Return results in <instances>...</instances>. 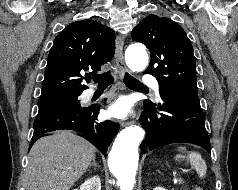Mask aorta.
I'll use <instances>...</instances> for the list:
<instances>
[{
    "mask_svg": "<svg viewBox=\"0 0 238 190\" xmlns=\"http://www.w3.org/2000/svg\"><path fill=\"white\" fill-rule=\"evenodd\" d=\"M127 66L133 71H143L148 65V54L140 43L131 44L125 53ZM144 137L139 126L124 128L115 139L109 153L108 166L117 178L121 190H132L138 167V146Z\"/></svg>",
    "mask_w": 238,
    "mask_h": 190,
    "instance_id": "762f6f07",
    "label": "aorta"
}]
</instances>
